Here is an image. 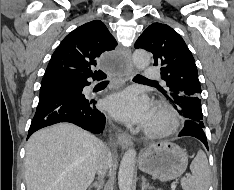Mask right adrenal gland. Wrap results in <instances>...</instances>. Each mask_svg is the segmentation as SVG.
Wrapping results in <instances>:
<instances>
[{
	"label": "right adrenal gland",
	"instance_id": "obj_1",
	"mask_svg": "<svg viewBox=\"0 0 234 190\" xmlns=\"http://www.w3.org/2000/svg\"><path fill=\"white\" fill-rule=\"evenodd\" d=\"M102 185H103V180L100 179L98 182L93 183V184L89 187V190H90L91 188H96V190H101Z\"/></svg>",
	"mask_w": 234,
	"mask_h": 190
}]
</instances>
